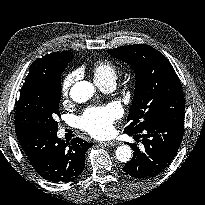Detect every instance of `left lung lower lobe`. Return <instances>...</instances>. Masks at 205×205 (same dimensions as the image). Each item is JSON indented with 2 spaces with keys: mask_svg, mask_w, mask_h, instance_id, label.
Segmentation results:
<instances>
[{
  "mask_svg": "<svg viewBox=\"0 0 205 205\" xmlns=\"http://www.w3.org/2000/svg\"><path fill=\"white\" fill-rule=\"evenodd\" d=\"M184 132V111L168 114L147 125L138 133H127L141 138L144 149L131 144L133 158L123 171L134 178L149 179L170 165L179 149Z\"/></svg>",
  "mask_w": 205,
  "mask_h": 205,
  "instance_id": "1",
  "label": "left lung lower lobe"
}]
</instances>
